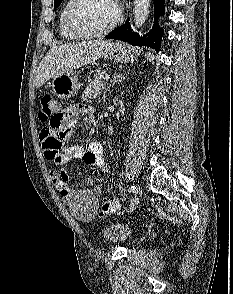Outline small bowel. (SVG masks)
I'll return each instance as SVG.
<instances>
[{
	"instance_id": "c3829d8e",
	"label": "small bowel",
	"mask_w": 233,
	"mask_h": 294,
	"mask_svg": "<svg viewBox=\"0 0 233 294\" xmlns=\"http://www.w3.org/2000/svg\"><path fill=\"white\" fill-rule=\"evenodd\" d=\"M92 113L91 103L63 104L61 110H52V115L56 117H48V126H44L40 133L44 154L50 161V176L54 186L70 213L83 222L95 218L101 187L89 178L84 181V188L71 185L65 166L72 159H83L85 164L99 168L106 176L110 174V168L104 160L100 142L91 141L82 147L66 144V141L73 134V126L84 122V117L80 116L90 118Z\"/></svg>"
}]
</instances>
